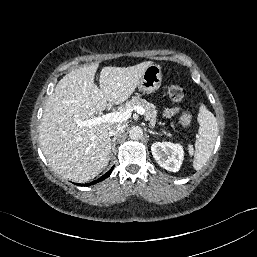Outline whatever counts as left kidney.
<instances>
[{
    "label": "left kidney",
    "mask_w": 257,
    "mask_h": 257,
    "mask_svg": "<svg viewBox=\"0 0 257 257\" xmlns=\"http://www.w3.org/2000/svg\"><path fill=\"white\" fill-rule=\"evenodd\" d=\"M151 152L162 168L172 172L179 171L184 157V149L181 144L156 142L152 144Z\"/></svg>",
    "instance_id": "5707ae66"
}]
</instances>
